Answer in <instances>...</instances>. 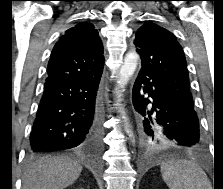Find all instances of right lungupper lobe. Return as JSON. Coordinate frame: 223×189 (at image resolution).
Returning a JSON list of instances; mask_svg holds the SVG:
<instances>
[{
	"label": "right lung upper lobe",
	"mask_w": 223,
	"mask_h": 189,
	"mask_svg": "<svg viewBox=\"0 0 223 189\" xmlns=\"http://www.w3.org/2000/svg\"><path fill=\"white\" fill-rule=\"evenodd\" d=\"M103 46L91 23L68 29L52 50L47 68L48 81L81 79L103 71Z\"/></svg>",
	"instance_id": "1"
}]
</instances>
